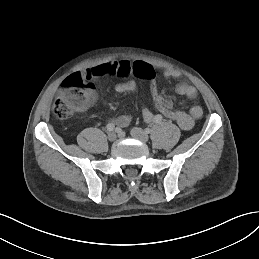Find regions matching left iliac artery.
Segmentation results:
<instances>
[{
  "label": "left iliac artery",
  "instance_id": "left-iliac-artery-1",
  "mask_svg": "<svg viewBox=\"0 0 259 259\" xmlns=\"http://www.w3.org/2000/svg\"><path fill=\"white\" fill-rule=\"evenodd\" d=\"M162 119H163V117H162L160 114H158V115H156V116L153 118V121H154L155 123H161Z\"/></svg>",
  "mask_w": 259,
  "mask_h": 259
}]
</instances>
